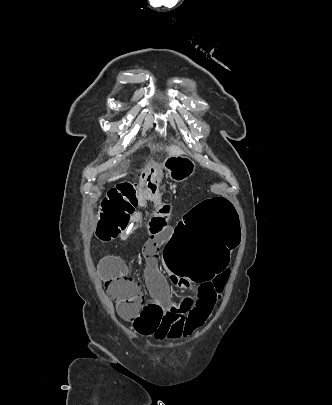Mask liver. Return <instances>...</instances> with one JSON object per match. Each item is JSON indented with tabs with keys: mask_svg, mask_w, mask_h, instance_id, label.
Returning <instances> with one entry per match:
<instances>
[{
	"mask_svg": "<svg viewBox=\"0 0 332 405\" xmlns=\"http://www.w3.org/2000/svg\"><path fill=\"white\" fill-rule=\"evenodd\" d=\"M158 147V149H164L163 147H159V146H157ZM156 149V146L155 145H153L152 146V150L154 151ZM165 151L166 152H168V154L171 156V155H182L184 152H183V150L179 147V146H177V145H174V144H172V145H170V146H166L165 147Z\"/></svg>",
	"mask_w": 332,
	"mask_h": 405,
	"instance_id": "liver-1",
	"label": "liver"
}]
</instances>
